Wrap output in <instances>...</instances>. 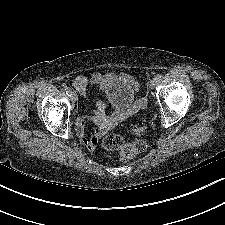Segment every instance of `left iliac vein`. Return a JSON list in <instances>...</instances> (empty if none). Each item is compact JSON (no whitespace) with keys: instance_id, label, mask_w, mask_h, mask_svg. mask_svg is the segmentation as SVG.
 <instances>
[{"instance_id":"obj_1","label":"left iliac vein","mask_w":225,"mask_h":225,"mask_svg":"<svg viewBox=\"0 0 225 225\" xmlns=\"http://www.w3.org/2000/svg\"><path fill=\"white\" fill-rule=\"evenodd\" d=\"M156 86V80L153 78L150 82H149V88L150 89H154Z\"/></svg>"}]
</instances>
